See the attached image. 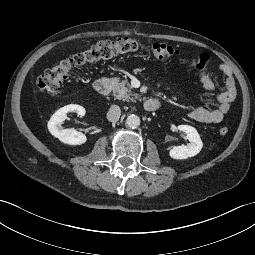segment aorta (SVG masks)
I'll use <instances>...</instances> for the list:
<instances>
[{"label": "aorta", "mask_w": 255, "mask_h": 255, "mask_svg": "<svg viewBox=\"0 0 255 255\" xmlns=\"http://www.w3.org/2000/svg\"><path fill=\"white\" fill-rule=\"evenodd\" d=\"M126 124L128 127L135 129L140 126V118L137 115H129L126 119Z\"/></svg>", "instance_id": "762f6f07"}]
</instances>
